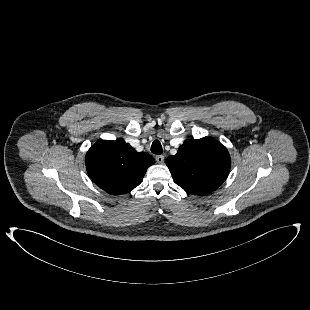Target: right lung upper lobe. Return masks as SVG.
<instances>
[{
  "mask_svg": "<svg viewBox=\"0 0 310 310\" xmlns=\"http://www.w3.org/2000/svg\"><path fill=\"white\" fill-rule=\"evenodd\" d=\"M154 158L123 139L101 140L88 150L85 165L92 181L110 194L130 192L142 181Z\"/></svg>",
  "mask_w": 310,
  "mask_h": 310,
  "instance_id": "obj_1",
  "label": "right lung upper lobe"
}]
</instances>
